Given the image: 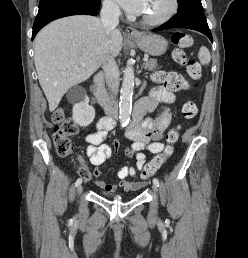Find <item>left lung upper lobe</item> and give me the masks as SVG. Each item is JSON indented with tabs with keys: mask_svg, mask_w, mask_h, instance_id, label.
Here are the masks:
<instances>
[{
	"mask_svg": "<svg viewBox=\"0 0 248 258\" xmlns=\"http://www.w3.org/2000/svg\"><path fill=\"white\" fill-rule=\"evenodd\" d=\"M179 10L176 15H188L195 11H203L200 0H178Z\"/></svg>",
	"mask_w": 248,
	"mask_h": 258,
	"instance_id": "1",
	"label": "left lung upper lobe"
}]
</instances>
